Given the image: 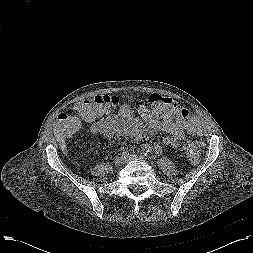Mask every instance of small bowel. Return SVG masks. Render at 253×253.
Instances as JSON below:
<instances>
[{
  "label": "small bowel",
  "mask_w": 253,
  "mask_h": 253,
  "mask_svg": "<svg viewBox=\"0 0 253 253\" xmlns=\"http://www.w3.org/2000/svg\"><path fill=\"white\" fill-rule=\"evenodd\" d=\"M146 109V107H141L139 110L141 117L146 121V124H143L138 118L134 116V112L129 106H122L118 113L117 120L119 124H116L117 126L113 129V133H123L127 136L139 140L144 138L149 131L157 130L169 135L163 139V143L165 145L177 148L179 146V142L185 136L183 126L178 121H175L173 119L157 120L149 118L145 115ZM105 114L106 113L100 117L104 116ZM110 120L111 118H105L96 122L92 128L93 132L96 134H101L99 129H103V123ZM144 149L146 151L158 154L162 152L163 146L158 144L145 145Z\"/></svg>",
  "instance_id": "1"
}]
</instances>
